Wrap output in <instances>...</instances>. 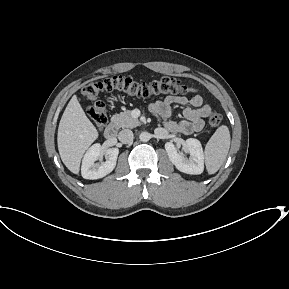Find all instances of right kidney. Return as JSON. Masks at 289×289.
Instances as JSON below:
<instances>
[{"label": "right kidney", "instance_id": "obj_1", "mask_svg": "<svg viewBox=\"0 0 289 289\" xmlns=\"http://www.w3.org/2000/svg\"><path fill=\"white\" fill-rule=\"evenodd\" d=\"M105 154L107 155L106 161L96 163L103 156L101 145L96 143L87 150L81 167V174L84 179L94 180L103 178L113 171L116 166L119 149H107Z\"/></svg>", "mask_w": 289, "mask_h": 289}]
</instances>
